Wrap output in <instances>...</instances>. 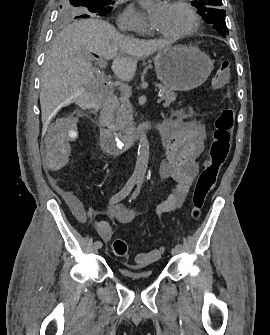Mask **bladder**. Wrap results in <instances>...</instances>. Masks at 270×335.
I'll list each match as a JSON object with an SVG mask.
<instances>
[{
	"instance_id": "obj_1",
	"label": "bladder",
	"mask_w": 270,
	"mask_h": 335,
	"mask_svg": "<svg viewBox=\"0 0 270 335\" xmlns=\"http://www.w3.org/2000/svg\"><path fill=\"white\" fill-rule=\"evenodd\" d=\"M121 274L124 276V279L129 282L137 283L144 279H152L154 277L153 272H144V273H135L132 271H121Z\"/></svg>"
}]
</instances>
